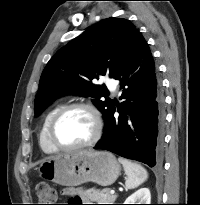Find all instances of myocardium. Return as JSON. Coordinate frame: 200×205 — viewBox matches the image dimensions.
Wrapping results in <instances>:
<instances>
[{
  "mask_svg": "<svg viewBox=\"0 0 200 205\" xmlns=\"http://www.w3.org/2000/svg\"><path fill=\"white\" fill-rule=\"evenodd\" d=\"M73 109H84L89 112L92 117L93 124H94V131L91 138L81 144L73 145V146H64L57 142L55 138V127L59 119L68 111ZM103 119L101 116L100 111L97 109L96 106L89 102H73L62 106L52 117L49 127H48V138L52 146L59 151H75L84 149L87 147H91L95 145L103 134Z\"/></svg>",
  "mask_w": 200,
  "mask_h": 205,
  "instance_id": "f54148a6",
  "label": "myocardium"
}]
</instances>
